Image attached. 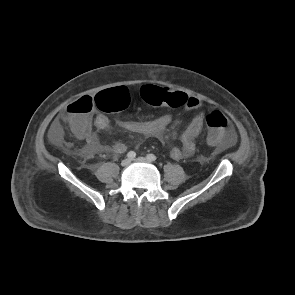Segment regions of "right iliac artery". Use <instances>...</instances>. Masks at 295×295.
Returning a JSON list of instances; mask_svg holds the SVG:
<instances>
[{
    "label": "right iliac artery",
    "mask_w": 295,
    "mask_h": 295,
    "mask_svg": "<svg viewBox=\"0 0 295 295\" xmlns=\"http://www.w3.org/2000/svg\"><path fill=\"white\" fill-rule=\"evenodd\" d=\"M127 157L132 160L136 157V153L134 151H130L128 152Z\"/></svg>",
    "instance_id": "1"
}]
</instances>
